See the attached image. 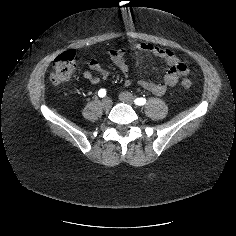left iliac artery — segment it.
Returning a JSON list of instances; mask_svg holds the SVG:
<instances>
[{
    "mask_svg": "<svg viewBox=\"0 0 236 236\" xmlns=\"http://www.w3.org/2000/svg\"><path fill=\"white\" fill-rule=\"evenodd\" d=\"M135 104L138 105V106H142L146 103V99L145 98H136L134 100Z\"/></svg>",
    "mask_w": 236,
    "mask_h": 236,
    "instance_id": "1",
    "label": "left iliac artery"
}]
</instances>
